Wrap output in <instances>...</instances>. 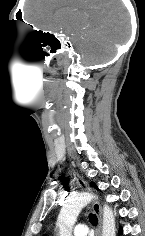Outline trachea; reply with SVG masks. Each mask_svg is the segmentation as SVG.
Masks as SVG:
<instances>
[{
    "label": "trachea",
    "instance_id": "trachea-1",
    "mask_svg": "<svg viewBox=\"0 0 145 236\" xmlns=\"http://www.w3.org/2000/svg\"><path fill=\"white\" fill-rule=\"evenodd\" d=\"M89 221L93 226H96L98 223V219L95 214L90 213L89 214Z\"/></svg>",
    "mask_w": 145,
    "mask_h": 236
}]
</instances>
